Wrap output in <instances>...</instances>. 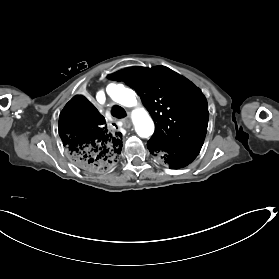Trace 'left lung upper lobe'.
<instances>
[{
	"instance_id": "left-lung-upper-lobe-1",
	"label": "left lung upper lobe",
	"mask_w": 279,
	"mask_h": 279,
	"mask_svg": "<svg viewBox=\"0 0 279 279\" xmlns=\"http://www.w3.org/2000/svg\"><path fill=\"white\" fill-rule=\"evenodd\" d=\"M108 78L125 82L141 97L156 124L149 142L200 151L207 132L208 105L191 81L164 66L129 67Z\"/></svg>"
}]
</instances>
